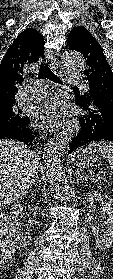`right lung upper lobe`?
<instances>
[{"instance_id": "cb5924a9", "label": "right lung upper lobe", "mask_w": 113, "mask_h": 279, "mask_svg": "<svg viewBox=\"0 0 113 279\" xmlns=\"http://www.w3.org/2000/svg\"><path fill=\"white\" fill-rule=\"evenodd\" d=\"M44 39L36 29L21 32L0 64V108L14 103L16 84L23 80L24 69L44 55Z\"/></svg>"}]
</instances>
